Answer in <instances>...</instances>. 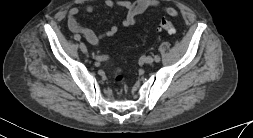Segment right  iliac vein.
<instances>
[{
    "instance_id": "63e3f726",
    "label": "right iliac vein",
    "mask_w": 253,
    "mask_h": 138,
    "mask_svg": "<svg viewBox=\"0 0 253 138\" xmlns=\"http://www.w3.org/2000/svg\"><path fill=\"white\" fill-rule=\"evenodd\" d=\"M80 49L83 53H87L86 45L83 42L80 43Z\"/></svg>"
}]
</instances>
